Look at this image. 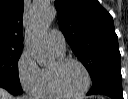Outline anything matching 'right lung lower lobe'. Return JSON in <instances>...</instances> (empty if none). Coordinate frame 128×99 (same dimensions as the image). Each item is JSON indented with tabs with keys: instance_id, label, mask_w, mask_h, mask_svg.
I'll use <instances>...</instances> for the list:
<instances>
[{
	"instance_id": "right-lung-lower-lobe-1",
	"label": "right lung lower lobe",
	"mask_w": 128,
	"mask_h": 99,
	"mask_svg": "<svg viewBox=\"0 0 128 99\" xmlns=\"http://www.w3.org/2000/svg\"><path fill=\"white\" fill-rule=\"evenodd\" d=\"M0 87L5 88L9 93L13 95H18L23 93L21 87L14 86L13 84L7 83L5 81H0Z\"/></svg>"
}]
</instances>
